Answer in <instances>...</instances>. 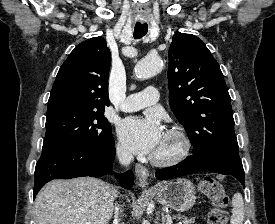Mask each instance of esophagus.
Listing matches in <instances>:
<instances>
[{"label": "esophagus", "mask_w": 275, "mask_h": 224, "mask_svg": "<svg viewBox=\"0 0 275 224\" xmlns=\"http://www.w3.org/2000/svg\"><path fill=\"white\" fill-rule=\"evenodd\" d=\"M135 172L140 186L145 187L147 184V179L149 177L148 169L142 164L137 163L135 165Z\"/></svg>", "instance_id": "1"}]
</instances>
